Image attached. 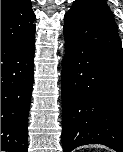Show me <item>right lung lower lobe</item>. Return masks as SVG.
<instances>
[{"label":"right lung lower lobe","mask_w":123,"mask_h":152,"mask_svg":"<svg viewBox=\"0 0 123 152\" xmlns=\"http://www.w3.org/2000/svg\"><path fill=\"white\" fill-rule=\"evenodd\" d=\"M34 33L1 46V151L27 152Z\"/></svg>","instance_id":"obj_1"}]
</instances>
